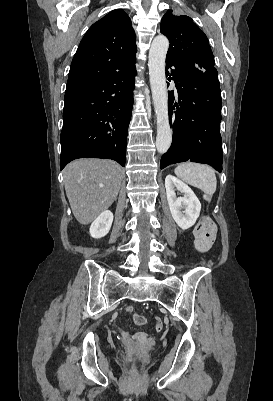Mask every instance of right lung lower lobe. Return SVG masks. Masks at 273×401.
<instances>
[{"label":"right lung lower lobe","instance_id":"obj_1","mask_svg":"<svg viewBox=\"0 0 273 401\" xmlns=\"http://www.w3.org/2000/svg\"><path fill=\"white\" fill-rule=\"evenodd\" d=\"M135 62L111 71L96 84L65 95L61 170L74 159L89 157L113 159L125 165Z\"/></svg>","mask_w":273,"mask_h":401}]
</instances>
